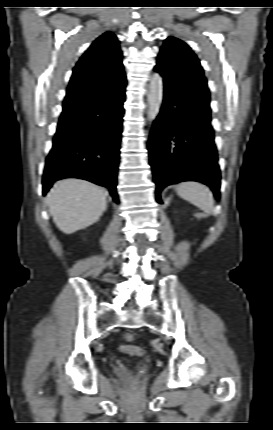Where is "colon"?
<instances>
[{
    "label": "colon",
    "mask_w": 273,
    "mask_h": 430,
    "mask_svg": "<svg viewBox=\"0 0 273 430\" xmlns=\"http://www.w3.org/2000/svg\"><path fill=\"white\" fill-rule=\"evenodd\" d=\"M123 338L127 342H132L134 340V335L132 333L127 332L123 335ZM122 351L136 356H142L146 352L144 348L137 346H131V348Z\"/></svg>",
    "instance_id": "1"
}]
</instances>
